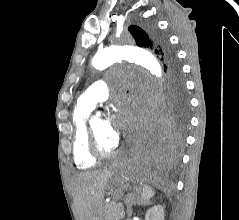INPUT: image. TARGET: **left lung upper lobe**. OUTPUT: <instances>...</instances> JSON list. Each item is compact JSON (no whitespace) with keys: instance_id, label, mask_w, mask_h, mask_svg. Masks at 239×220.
Here are the masks:
<instances>
[{"instance_id":"1","label":"left lung upper lobe","mask_w":239,"mask_h":220,"mask_svg":"<svg viewBox=\"0 0 239 220\" xmlns=\"http://www.w3.org/2000/svg\"><path fill=\"white\" fill-rule=\"evenodd\" d=\"M128 30L139 47L154 50L157 57L163 61L166 69L165 72H167L170 79L171 107L169 121L175 128L182 130L187 123L188 102L181 79L180 68L168 46L167 39L159 33L154 25H148L144 29L138 26H130Z\"/></svg>"}]
</instances>
